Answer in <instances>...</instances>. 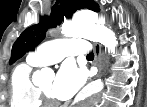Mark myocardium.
Masks as SVG:
<instances>
[{"label": "myocardium", "mask_w": 147, "mask_h": 107, "mask_svg": "<svg viewBox=\"0 0 147 107\" xmlns=\"http://www.w3.org/2000/svg\"><path fill=\"white\" fill-rule=\"evenodd\" d=\"M35 90L41 105L49 107L58 105V102L46 93L39 85L35 86Z\"/></svg>", "instance_id": "f54148a6"}]
</instances>
